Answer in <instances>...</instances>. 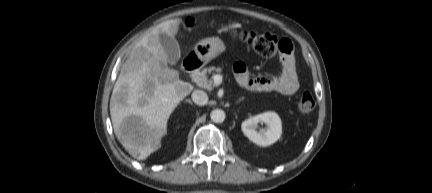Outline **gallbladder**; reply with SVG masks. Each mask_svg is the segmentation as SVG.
<instances>
[{
  "label": "gallbladder",
  "mask_w": 432,
  "mask_h": 193,
  "mask_svg": "<svg viewBox=\"0 0 432 193\" xmlns=\"http://www.w3.org/2000/svg\"><path fill=\"white\" fill-rule=\"evenodd\" d=\"M158 38L168 56V63L171 65L175 64L180 59V47L178 41L174 37L163 32L158 34Z\"/></svg>",
  "instance_id": "obj_1"
}]
</instances>
